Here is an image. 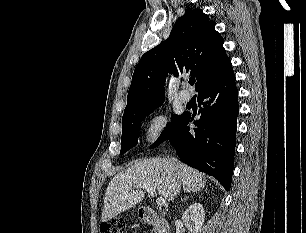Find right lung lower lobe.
<instances>
[{
	"instance_id": "1",
	"label": "right lung lower lobe",
	"mask_w": 306,
	"mask_h": 233,
	"mask_svg": "<svg viewBox=\"0 0 306 233\" xmlns=\"http://www.w3.org/2000/svg\"><path fill=\"white\" fill-rule=\"evenodd\" d=\"M197 99L203 105L200 119L194 122L197 128L190 131L191 115L184 113L169 142L184 163L214 176L229 191L239 113L233 69L204 86Z\"/></svg>"
}]
</instances>
